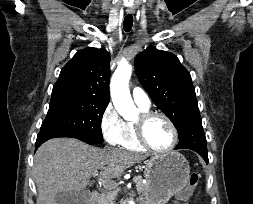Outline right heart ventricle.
Returning <instances> with one entry per match:
<instances>
[{"label": "right heart ventricle", "instance_id": "1", "mask_svg": "<svg viewBox=\"0 0 253 204\" xmlns=\"http://www.w3.org/2000/svg\"><path fill=\"white\" fill-rule=\"evenodd\" d=\"M141 109V108H140ZM143 112H148V110L141 109ZM127 130L126 135L121 143V146L130 152L143 153L145 149L139 144L136 136L135 126L133 123H126Z\"/></svg>", "mask_w": 253, "mask_h": 204}]
</instances>
